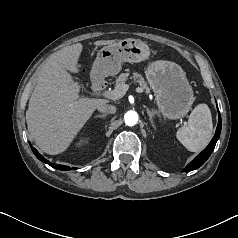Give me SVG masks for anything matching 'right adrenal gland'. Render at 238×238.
<instances>
[{
	"instance_id": "2a0ac1e0",
	"label": "right adrenal gland",
	"mask_w": 238,
	"mask_h": 238,
	"mask_svg": "<svg viewBox=\"0 0 238 238\" xmlns=\"http://www.w3.org/2000/svg\"><path fill=\"white\" fill-rule=\"evenodd\" d=\"M106 115L105 114H101V115H96L95 118H105Z\"/></svg>"
}]
</instances>
